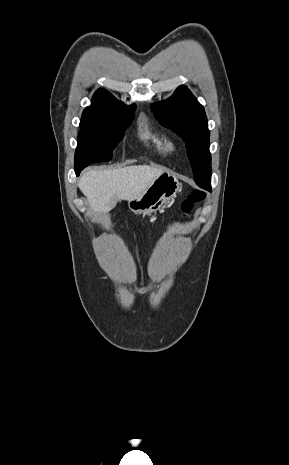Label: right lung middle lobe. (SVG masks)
I'll list each match as a JSON object with an SVG mask.
<instances>
[{
	"label": "right lung middle lobe",
	"instance_id": "obj_1",
	"mask_svg": "<svg viewBox=\"0 0 289 465\" xmlns=\"http://www.w3.org/2000/svg\"><path fill=\"white\" fill-rule=\"evenodd\" d=\"M134 110L135 105L116 104L111 108L112 119L107 124L80 125L75 166L84 168L91 163L111 160L113 148L124 136Z\"/></svg>",
	"mask_w": 289,
	"mask_h": 465
}]
</instances>
